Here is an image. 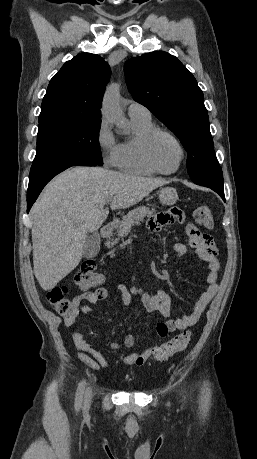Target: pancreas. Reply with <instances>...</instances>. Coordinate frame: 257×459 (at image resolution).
Wrapping results in <instances>:
<instances>
[{
  "instance_id": "pancreas-1",
  "label": "pancreas",
  "mask_w": 257,
  "mask_h": 459,
  "mask_svg": "<svg viewBox=\"0 0 257 459\" xmlns=\"http://www.w3.org/2000/svg\"><path fill=\"white\" fill-rule=\"evenodd\" d=\"M155 209H151L147 206H139L131 210L127 215L123 216L122 222L117 229V235L119 238H124L131 231L132 226L140 224L146 216L151 217L155 213ZM119 238L109 239L106 241L105 245L107 248L113 247L118 243Z\"/></svg>"
}]
</instances>
